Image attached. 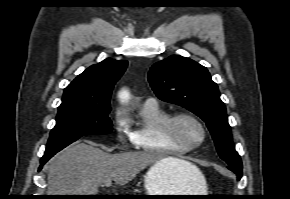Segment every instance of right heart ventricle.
<instances>
[{
	"label": "right heart ventricle",
	"mask_w": 290,
	"mask_h": 199,
	"mask_svg": "<svg viewBox=\"0 0 290 199\" xmlns=\"http://www.w3.org/2000/svg\"><path fill=\"white\" fill-rule=\"evenodd\" d=\"M170 113L157 103H144L134 119L128 121L131 143L135 149L160 156H181L187 153L163 135V125Z\"/></svg>",
	"instance_id": "e07e8e85"
}]
</instances>
